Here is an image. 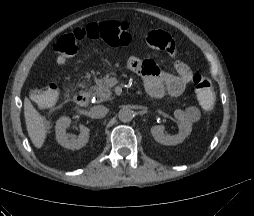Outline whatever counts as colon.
Instances as JSON below:
<instances>
[{
    "instance_id": "colon-1",
    "label": "colon",
    "mask_w": 254,
    "mask_h": 216,
    "mask_svg": "<svg viewBox=\"0 0 254 216\" xmlns=\"http://www.w3.org/2000/svg\"><path fill=\"white\" fill-rule=\"evenodd\" d=\"M133 38L130 26L125 22L92 23L63 35L56 41L53 49L57 62L62 63L73 57L86 39L100 40L112 47H118L128 45ZM192 84L200 106L205 111L212 110L216 98L211 80L204 74L196 72L192 75ZM32 98L38 105L50 108L58 99V89L55 85H47L36 89L32 93Z\"/></svg>"
}]
</instances>
